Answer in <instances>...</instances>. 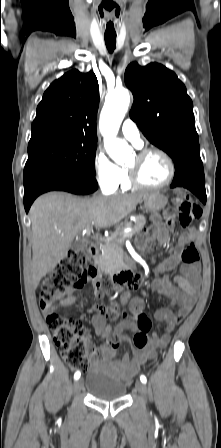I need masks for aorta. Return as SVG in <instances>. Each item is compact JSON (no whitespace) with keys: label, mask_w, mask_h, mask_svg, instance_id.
I'll use <instances>...</instances> for the list:
<instances>
[{"label":"aorta","mask_w":221,"mask_h":448,"mask_svg":"<svg viewBox=\"0 0 221 448\" xmlns=\"http://www.w3.org/2000/svg\"><path fill=\"white\" fill-rule=\"evenodd\" d=\"M129 105V92L116 91L107 97L100 116V129L104 136L105 149L109 156L120 165L126 163L132 153V148L125 141L116 138Z\"/></svg>","instance_id":"obj_1"}]
</instances>
